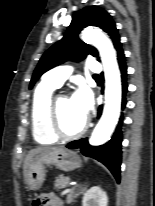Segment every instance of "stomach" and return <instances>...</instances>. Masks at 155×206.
I'll list each match as a JSON object with an SVG mask.
<instances>
[{"instance_id":"stomach-1","label":"stomach","mask_w":155,"mask_h":206,"mask_svg":"<svg viewBox=\"0 0 155 206\" xmlns=\"http://www.w3.org/2000/svg\"><path fill=\"white\" fill-rule=\"evenodd\" d=\"M45 165H54L63 171H72L81 167L80 157L66 148L41 152L35 155L28 167L25 182L30 190H38L45 178Z\"/></svg>"}]
</instances>
